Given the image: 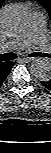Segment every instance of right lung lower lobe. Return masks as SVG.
Segmentation results:
<instances>
[{
    "label": "right lung lower lobe",
    "instance_id": "right-lung-lower-lobe-1",
    "mask_svg": "<svg viewBox=\"0 0 51 153\" xmlns=\"http://www.w3.org/2000/svg\"><path fill=\"white\" fill-rule=\"evenodd\" d=\"M13 65L14 64L12 62H6L5 65L0 68V86L6 79L7 75L10 73Z\"/></svg>",
    "mask_w": 51,
    "mask_h": 153
}]
</instances>
